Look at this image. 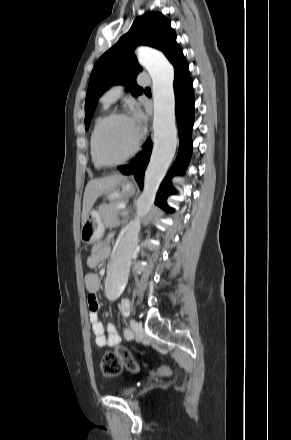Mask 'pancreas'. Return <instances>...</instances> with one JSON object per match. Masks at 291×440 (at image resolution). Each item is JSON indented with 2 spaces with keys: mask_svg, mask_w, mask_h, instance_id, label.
<instances>
[{
  "mask_svg": "<svg viewBox=\"0 0 291 440\" xmlns=\"http://www.w3.org/2000/svg\"><path fill=\"white\" fill-rule=\"evenodd\" d=\"M123 203L122 201H115L110 204H101L99 206V215L105 227H113L119 223L118 205Z\"/></svg>",
  "mask_w": 291,
  "mask_h": 440,
  "instance_id": "pancreas-1",
  "label": "pancreas"
}]
</instances>
